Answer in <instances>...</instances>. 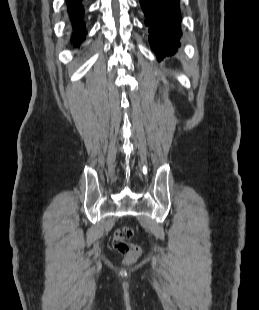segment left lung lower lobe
Returning <instances> with one entry per match:
<instances>
[{"label": "left lung lower lobe", "instance_id": "1", "mask_svg": "<svg viewBox=\"0 0 259 310\" xmlns=\"http://www.w3.org/2000/svg\"><path fill=\"white\" fill-rule=\"evenodd\" d=\"M149 42L157 58L173 55L181 46L179 0H140Z\"/></svg>", "mask_w": 259, "mask_h": 310}]
</instances>
